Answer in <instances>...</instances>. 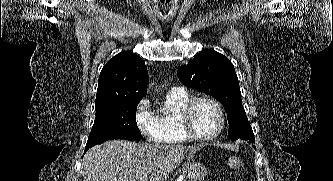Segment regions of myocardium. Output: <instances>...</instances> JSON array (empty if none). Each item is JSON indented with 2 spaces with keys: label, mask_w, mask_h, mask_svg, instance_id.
<instances>
[{
  "label": "myocardium",
  "mask_w": 333,
  "mask_h": 181,
  "mask_svg": "<svg viewBox=\"0 0 333 181\" xmlns=\"http://www.w3.org/2000/svg\"><path fill=\"white\" fill-rule=\"evenodd\" d=\"M200 102H207L211 104L217 111L220 119V125L218 130L210 135V136H200L199 134L196 133V131L193 128L192 124V115L195 110V107L200 103ZM180 119H181V125L184 133L189 139L195 140V141H211L213 139H216L221 135L225 128V114L223 111V108L221 104L214 98L208 97V96H200V97H194L191 98L182 108L181 114H180Z\"/></svg>",
  "instance_id": "f54148a6"
}]
</instances>
